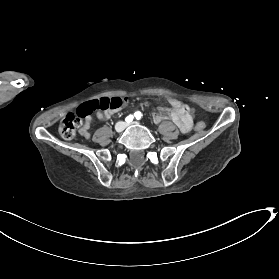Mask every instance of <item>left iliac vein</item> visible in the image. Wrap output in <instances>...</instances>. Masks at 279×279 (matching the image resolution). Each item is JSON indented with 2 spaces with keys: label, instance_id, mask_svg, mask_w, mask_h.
Instances as JSON below:
<instances>
[{
  "label": "left iliac vein",
  "instance_id": "left-iliac-vein-1",
  "mask_svg": "<svg viewBox=\"0 0 279 279\" xmlns=\"http://www.w3.org/2000/svg\"><path fill=\"white\" fill-rule=\"evenodd\" d=\"M136 124H138V123L137 122H132L130 124H127V126L136 125Z\"/></svg>",
  "mask_w": 279,
  "mask_h": 279
}]
</instances>
